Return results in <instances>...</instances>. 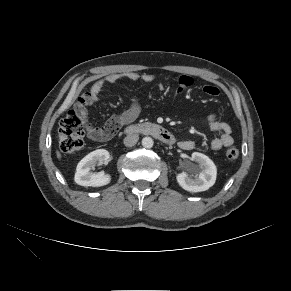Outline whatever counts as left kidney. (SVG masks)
Wrapping results in <instances>:
<instances>
[{
  "label": "left kidney",
  "instance_id": "left-kidney-1",
  "mask_svg": "<svg viewBox=\"0 0 291 291\" xmlns=\"http://www.w3.org/2000/svg\"><path fill=\"white\" fill-rule=\"evenodd\" d=\"M197 165H191L190 171L195 175H189L186 172L179 173L176 176L178 184L190 192H202L208 190L214 185L217 175V169L214 162L206 155L194 152L191 157Z\"/></svg>",
  "mask_w": 291,
  "mask_h": 291
}]
</instances>
